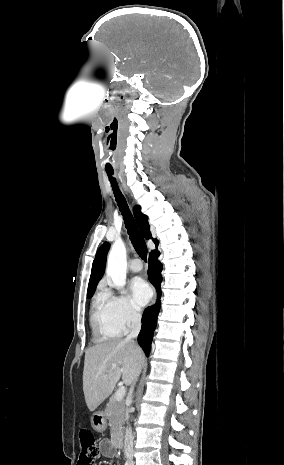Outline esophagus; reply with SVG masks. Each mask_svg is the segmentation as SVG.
Segmentation results:
<instances>
[{
    "label": "esophagus",
    "instance_id": "1",
    "mask_svg": "<svg viewBox=\"0 0 284 465\" xmlns=\"http://www.w3.org/2000/svg\"><path fill=\"white\" fill-rule=\"evenodd\" d=\"M155 300H156V292H155V290H154V295H153V298H152V302H151V303L154 304Z\"/></svg>",
    "mask_w": 284,
    "mask_h": 465
}]
</instances>
